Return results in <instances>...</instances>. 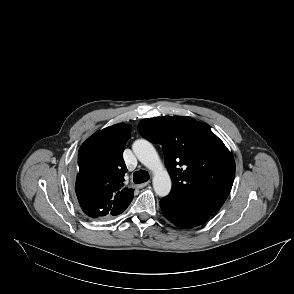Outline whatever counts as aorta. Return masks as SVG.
<instances>
[{
  "label": "aorta",
  "mask_w": 294,
  "mask_h": 294,
  "mask_svg": "<svg viewBox=\"0 0 294 294\" xmlns=\"http://www.w3.org/2000/svg\"><path fill=\"white\" fill-rule=\"evenodd\" d=\"M132 149L138 160L153 172L155 193L160 197L167 196L171 190V178L154 146L147 140L139 139L133 143Z\"/></svg>",
  "instance_id": "1"
}]
</instances>
